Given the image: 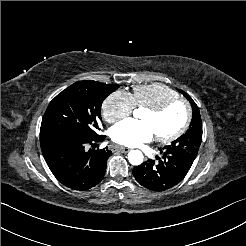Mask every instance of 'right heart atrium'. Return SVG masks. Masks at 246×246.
Listing matches in <instances>:
<instances>
[{
	"label": "right heart atrium",
	"mask_w": 246,
	"mask_h": 246,
	"mask_svg": "<svg viewBox=\"0 0 246 246\" xmlns=\"http://www.w3.org/2000/svg\"><path fill=\"white\" fill-rule=\"evenodd\" d=\"M132 95L124 90H115L102 103V114L109 123L129 117L134 109Z\"/></svg>",
	"instance_id": "d8ad5b80"
}]
</instances>
